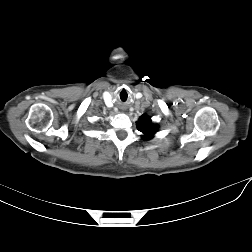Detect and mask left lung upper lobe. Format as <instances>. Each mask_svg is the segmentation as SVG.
Masks as SVG:
<instances>
[{
    "instance_id": "obj_1",
    "label": "left lung upper lobe",
    "mask_w": 252,
    "mask_h": 252,
    "mask_svg": "<svg viewBox=\"0 0 252 252\" xmlns=\"http://www.w3.org/2000/svg\"><path fill=\"white\" fill-rule=\"evenodd\" d=\"M137 128L139 131H141L144 134V136L142 137H147V138L153 137V134L157 132L158 130V126L153 125L151 118L146 114H143L139 118V121L137 122Z\"/></svg>"
}]
</instances>
